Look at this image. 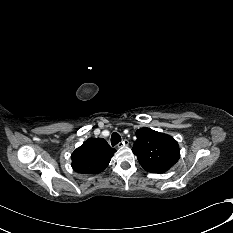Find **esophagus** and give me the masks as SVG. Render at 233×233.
<instances>
[{
    "instance_id": "34e87169",
    "label": "esophagus",
    "mask_w": 233,
    "mask_h": 233,
    "mask_svg": "<svg viewBox=\"0 0 233 233\" xmlns=\"http://www.w3.org/2000/svg\"><path fill=\"white\" fill-rule=\"evenodd\" d=\"M129 145V141L127 139H124L123 141L119 142L117 147L118 148H123Z\"/></svg>"
}]
</instances>
